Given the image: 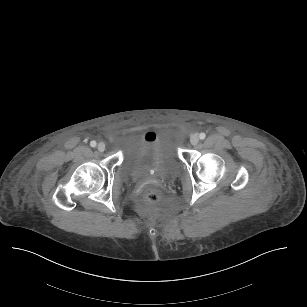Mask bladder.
Here are the masks:
<instances>
[{
	"label": "bladder",
	"instance_id": "obj_1",
	"mask_svg": "<svg viewBox=\"0 0 307 307\" xmlns=\"http://www.w3.org/2000/svg\"><path fill=\"white\" fill-rule=\"evenodd\" d=\"M123 174L132 180H144L152 173L172 176L179 171L180 160L174 147L157 138L128 146L123 152Z\"/></svg>",
	"mask_w": 307,
	"mask_h": 307
}]
</instances>
